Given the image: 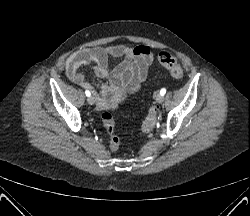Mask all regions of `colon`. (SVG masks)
Segmentation results:
<instances>
[{
	"instance_id": "obj_1",
	"label": "colon",
	"mask_w": 250,
	"mask_h": 216,
	"mask_svg": "<svg viewBox=\"0 0 250 216\" xmlns=\"http://www.w3.org/2000/svg\"><path fill=\"white\" fill-rule=\"evenodd\" d=\"M158 61L174 78L181 79L183 77V69L172 54L168 52H161L158 55ZM101 121L110 135V149L112 151H117L120 146V139L116 134V124L112 115L107 112L103 113L101 115ZM155 125L156 108L152 106L149 108L147 115L140 125V133H150L154 129Z\"/></svg>"
}]
</instances>
